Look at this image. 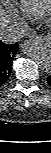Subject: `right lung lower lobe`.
<instances>
[{
	"mask_svg": "<svg viewBox=\"0 0 51 153\" xmlns=\"http://www.w3.org/2000/svg\"><path fill=\"white\" fill-rule=\"evenodd\" d=\"M19 50L18 44H4L0 40V87L8 80L12 71V60Z\"/></svg>",
	"mask_w": 51,
	"mask_h": 153,
	"instance_id": "98d812e1",
	"label": "right lung lower lobe"
}]
</instances>
